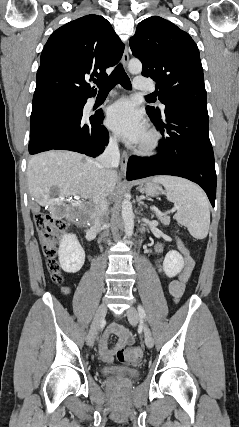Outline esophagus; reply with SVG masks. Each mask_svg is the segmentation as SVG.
<instances>
[{"instance_id":"34e87169","label":"esophagus","mask_w":239,"mask_h":427,"mask_svg":"<svg viewBox=\"0 0 239 427\" xmlns=\"http://www.w3.org/2000/svg\"><path fill=\"white\" fill-rule=\"evenodd\" d=\"M129 61V49L126 46L123 52V56H122V64L126 67ZM127 162H128V154L126 151H122L121 152V171L123 174L126 173V169H127Z\"/></svg>"}]
</instances>
